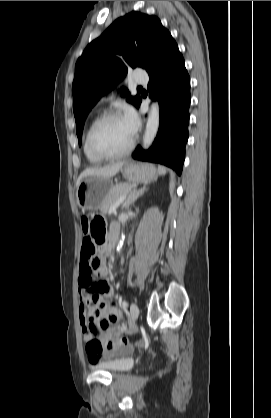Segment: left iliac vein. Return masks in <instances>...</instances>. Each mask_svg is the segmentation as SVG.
I'll return each instance as SVG.
<instances>
[{
	"label": "left iliac vein",
	"instance_id": "4c4485c4",
	"mask_svg": "<svg viewBox=\"0 0 271 418\" xmlns=\"http://www.w3.org/2000/svg\"><path fill=\"white\" fill-rule=\"evenodd\" d=\"M139 316V308L135 303L131 304L130 307V322L133 324Z\"/></svg>",
	"mask_w": 271,
	"mask_h": 418
}]
</instances>
